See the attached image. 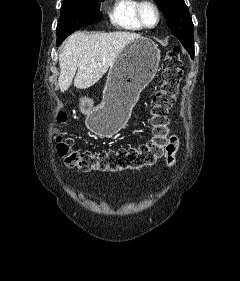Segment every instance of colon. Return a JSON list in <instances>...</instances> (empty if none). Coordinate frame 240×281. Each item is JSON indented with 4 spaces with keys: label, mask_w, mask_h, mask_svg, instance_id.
<instances>
[{
    "label": "colon",
    "mask_w": 240,
    "mask_h": 281,
    "mask_svg": "<svg viewBox=\"0 0 240 281\" xmlns=\"http://www.w3.org/2000/svg\"><path fill=\"white\" fill-rule=\"evenodd\" d=\"M162 81L152 97L151 137L144 144L132 148L100 151L75 149L63 136L60 129L55 131L56 149L67 166L81 171H140L154 166L166 156L169 145V112L178 95L183 74V62L178 47L169 49L163 59ZM59 123L66 121V114L59 112Z\"/></svg>",
    "instance_id": "colon-1"
}]
</instances>
